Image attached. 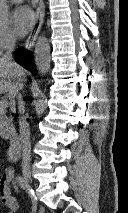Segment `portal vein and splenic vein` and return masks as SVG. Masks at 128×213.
<instances>
[{"label":"portal vein and splenic vein","instance_id":"1","mask_svg":"<svg viewBox=\"0 0 128 213\" xmlns=\"http://www.w3.org/2000/svg\"><path fill=\"white\" fill-rule=\"evenodd\" d=\"M8 106V101L7 100H1L0 101V109H5Z\"/></svg>","mask_w":128,"mask_h":213}]
</instances>
